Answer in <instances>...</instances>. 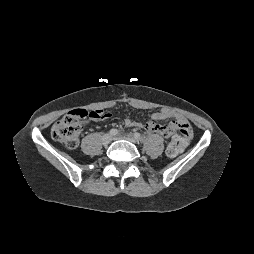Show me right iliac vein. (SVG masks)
Instances as JSON below:
<instances>
[{"instance_id": "right-iliac-vein-1", "label": "right iliac vein", "mask_w": 254, "mask_h": 254, "mask_svg": "<svg viewBox=\"0 0 254 254\" xmlns=\"http://www.w3.org/2000/svg\"><path fill=\"white\" fill-rule=\"evenodd\" d=\"M112 140H113V137L110 134H106L102 138V143L104 145H108L109 143H111Z\"/></svg>"}]
</instances>
